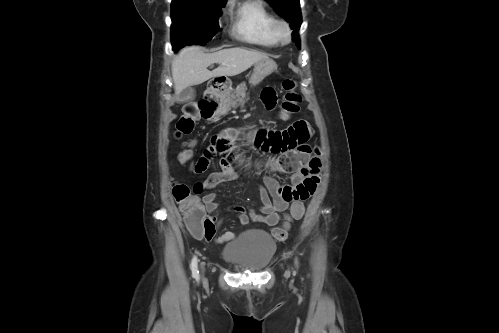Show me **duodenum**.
I'll return each mask as SVG.
<instances>
[{
    "label": "duodenum",
    "mask_w": 499,
    "mask_h": 333,
    "mask_svg": "<svg viewBox=\"0 0 499 333\" xmlns=\"http://www.w3.org/2000/svg\"><path fill=\"white\" fill-rule=\"evenodd\" d=\"M218 87H219V83H218V82H216V81H214V82L211 84V86H210V89H209V94H210L211 96H215V91H216V89H217ZM212 113H213V111H212V109H211L210 114H212Z\"/></svg>",
    "instance_id": "obj_1"
}]
</instances>
